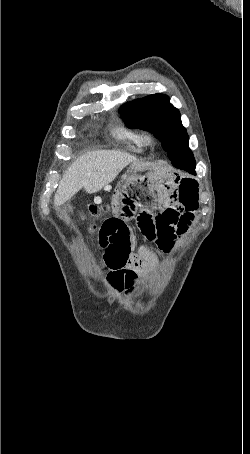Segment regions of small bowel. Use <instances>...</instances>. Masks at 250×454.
<instances>
[{"instance_id":"obj_1","label":"small bowel","mask_w":250,"mask_h":454,"mask_svg":"<svg viewBox=\"0 0 250 454\" xmlns=\"http://www.w3.org/2000/svg\"><path fill=\"white\" fill-rule=\"evenodd\" d=\"M198 183L189 177L129 172L114 188L117 215L106 219L98 233L104 250L106 280L116 289L134 288L140 274L153 269L155 258L135 251V237L127 220L136 214L143 235L169 252L195 217Z\"/></svg>"}]
</instances>
